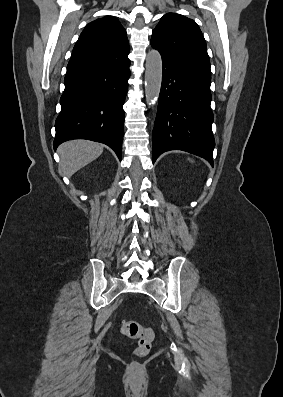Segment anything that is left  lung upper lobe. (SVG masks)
Listing matches in <instances>:
<instances>
[{"label":"left lung upper lobe","instance_id":"left-lung-upper-lobe-1","mask_svg":"<svg viewBox=\"0 0 283 397\" xmlns=\"http://www.w3.org/2000/svg\"><path fill=\"white\" fill-rule=\"evenodd\" d=\"M151 45L161 56L211 83L206 42L194 20L176 13L164 15L152 31Z\"/></svg>","mask_w":283,"mask_h":397}]
</instances>
